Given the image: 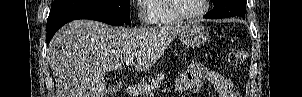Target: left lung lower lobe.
Returning a JSON list of instances; mask_svg holds the SVG:
<instances>
[{"instance_id":"1","label":"left lung lower lobe","mask_w":302,"mask_h":97,"mask_svg":"<svg viewBox=\"0 0 302 97\" xmlns=\"http://www.w3.org/2000/svg\"><path fill=\"white\" fill-rule=\"evenodd\" d=\"M205 18H208V19H217L214 15H212L211 13H208L204 16Z\"/></svg>"}]
</instances>
